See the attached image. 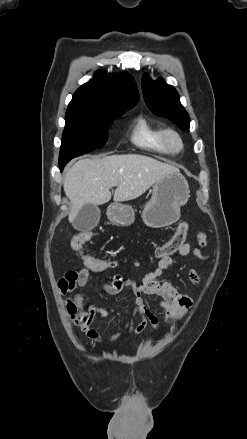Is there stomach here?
Segmentation results:
<instances>
[{"label":"stomach","mask_w":247,"mask_h":439,"mask_svg":"<svg viewBox=\"0 0 247 439\" xmlns=\"http://www.w3.org/2000/svg\"><path fill=\"white\" fill-rule=\"evenodd\" d=\"M189 185L180 173H171L152 188V197L142 212L144 223L152 228H161L176 222L180 208L190 197ZM109 221L116 226H130L135 220V212L129 205L112 203L107 209Z\"/></svg>","instance_id":"1"}]
</instances>
